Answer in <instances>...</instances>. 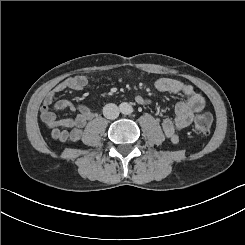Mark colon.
<instances>
[{
  "label": "colon",
  "instance_id": "5ec220e1",
  "mask_svg": "<svg viewBox=\"0 0 245 245\" xmlns=\"http://www.w3.org/2000/svg\"><path fill=\"white\" fill-rule=\"evenodd\" d=\"M213 117L210 113L205 112L198 114L194 121V127L201 134H208L211 130Z\"/></svg>",
  "mask_w": 245,
  "mask_h": 245
}]
</instances>
